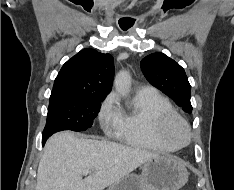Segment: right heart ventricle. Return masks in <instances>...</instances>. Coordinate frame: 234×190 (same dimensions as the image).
<instances>
[{"instance_id": "e07e8e85", "label": "right heart ventricle", "mask_w": 234, "mask_h": 190, "mask_svg": "<svg viewBox=\"0 0 234 190\" xmlns=\"http://www.w3.org/2000/svg\"><path fill=\"white\" fill-rule=\"evenodd\" d=\"M175 112L170 101L156 90L138 92L127 110L118 109L117 138L127 145L161 152L177 149L160 135L162 117Z\"/></svg>"}]
</instances>
